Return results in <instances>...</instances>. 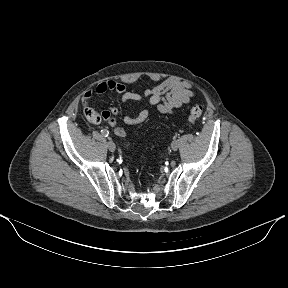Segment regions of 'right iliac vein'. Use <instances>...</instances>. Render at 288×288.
I'll use <instances>...</instances> for the list:
<instances>
[{
	"label": "right iliac vein",
	"mask_w": 288,
	"mask_h": 288,
	"mask_svg": "<svg viewBox=\"0 0 288 288\" xmlns=\"http://www.w3.org/2000/svg\"><path fill=\"white\" fill-rule=\"evenodd\" d=\"M107 147L111 152H114L116 150V145L113 141L109 140L107 142Z\"/></svg>",
	"instance_id": "63e3f726"
}]
</instances>
